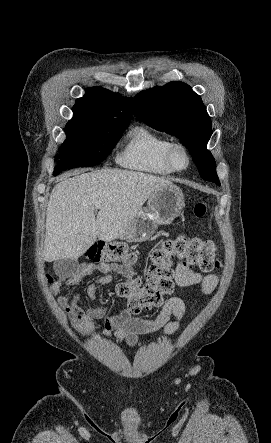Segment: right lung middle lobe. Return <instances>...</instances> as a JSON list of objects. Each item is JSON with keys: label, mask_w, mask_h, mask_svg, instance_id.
Returning <instances> with one entry per match:
<instances>
[{"label": "right lung middle lobe", "mask_w": 271, "mask_h": 443, "mask_svg": "<svg viewBox=\"0 0 271 443\" xmlns=\"http://www.w3.org/2000/svg\"><path fill=\"white\" fill-rule=\"evenodd\" d=\"M130 122V118L72 119L66 127V140L61 145L56 176L66 169L90 167L110 154Z\"/></svg>", "instance_id": "right-lung-middle-lobe-1"}]
</instances>
